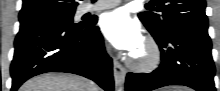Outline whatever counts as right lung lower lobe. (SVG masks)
I'll use <instances>...</instances> for the list:
<instances>
[{"mask_svg": "<svg viewBox=\"0 0 220 91\" xmlns=\"http://www.w3.org/2000/svg\"><path fill=\"white\" fill-rule=\"evenodd\" d=\"M95 24L87 21L75 26L46 15L20 21L11 64V91L46 72L78 74L113 91L112 60Z\"/></svg>", "mask_w": 220, "mask_h": 91, "instance_id": "obj_1", "label": "right lung lower lobe"}]
</instances>
